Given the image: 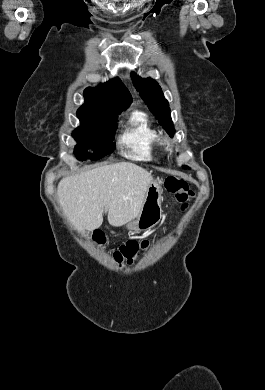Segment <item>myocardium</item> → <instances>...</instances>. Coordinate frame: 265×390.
Wrapping results in <instances>:
<instances>
[{
  "label": "myocardium",
  "instance_id": "1",
  "mask_svg": "<svg viewBox=\"0 0 265 390\" xmlns=\"http://www.w3.org/2000/svg\"><path fill=\"white\" fill-rule=\"evenodd\" d=\"M164 142H165L166 147H167L168 149H171V144H170V142H169L168 140H165Z\"/></svg>",
  "mask_w": 265,
  "mask_h": 390
}]
</instances>
